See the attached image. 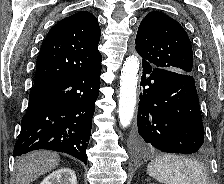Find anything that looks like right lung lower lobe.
I'll return each instance as SVG.
<instances>
[{
  "label": "right lung lower lobe",
  "instance_id": "right-lung-lower-lobe-1",
  "mask_svg": "<svg viewBox=\"0 0 224 184\" xmlns=\"http://www.w3.org/2000/svg\"><path fill=\"white\" fill-rule=\"evenodd\" d=\"M95 70L37 83L29 95L14 156L37 149L64 152L87 164L86 149L100 88Z\"/></svg>",
  "mask_w": 224,
  "mask_h": 184
}]
</instances>
